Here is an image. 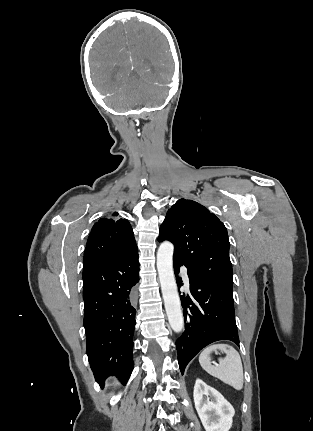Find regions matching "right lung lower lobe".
I'll list each match as a JSON object with an SVG mask.
<instances>
[{"label": "right lung lower lobe", "instance_id": "98d812e1", "mask_svg": "<svg viewBox=\"0 0 313 431\" xmlns=\"http://www.w3.org/2000/svg\"><path fill=\"white\" fill-rule=\"evenodd\" d=\"M138 281L137 249L83 267L87 355L100 386L112 375L125 384L133 370L136 310L132 296Z\"/></svg>", "mask_w": 313, "mask_h": 431}]
</instances>
